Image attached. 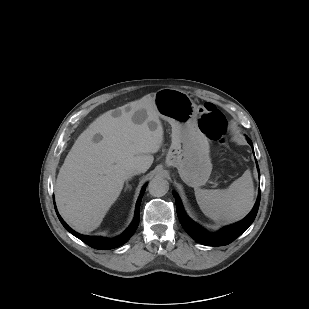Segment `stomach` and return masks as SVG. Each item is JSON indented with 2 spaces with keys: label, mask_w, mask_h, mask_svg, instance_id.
I'll return each mask as SVG.
<instances>
[{
  "label": "stomach",
  "mask_w": 309,
  "mask_h": 309,
  "mask_svg": "<svg viewBox=\"0 0 309 309\" xmlns=\"http://www.w3.org/2000/svg\"><path fill=\"white\" fill-rule=\"evenodd\" d=\"M159 117L172 127V143L166 164L178 169L191 187L204 185L212 171L209 143L197 123V108L184 91L163 88L154 95Z\"/></svg>",
  "instance_id": "0dacf381"
}]
</instances>
